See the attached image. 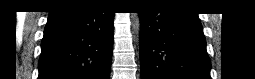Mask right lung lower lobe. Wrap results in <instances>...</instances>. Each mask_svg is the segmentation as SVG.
<instances>
[{"instance_id":"1","label":"right lung lower lobe","mask_w":255,"mask_h":79,"mask_svg":"<svg viewBox=\"0 0 255 79\" xmlns=\"http://www.w3.org/2000/svg\"><path fill=\"white\" fill-rule=\"evenodd\" d=\"M112 11L65 6L51 11L44 30L38 79H109Z\"/></svg>"}]
</instances>
